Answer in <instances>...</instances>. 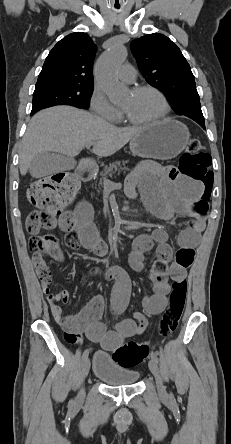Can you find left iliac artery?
Masks as SVG:
<instances>
[{"label":"left iliac artery","instance_id":"1","mask_svg":"<svg viewBox=\"0 0 231 444\" xmlns=\"http://www.w3.org/2000/svg\"><path fill=\"white\" fill-rule=\"evenodd\" d=\"M151 358L155 359L156 362H158L157 354L154 351L151 352Z\"/></svg>","mask_w":231,"mask_h":444}]
</instances>
